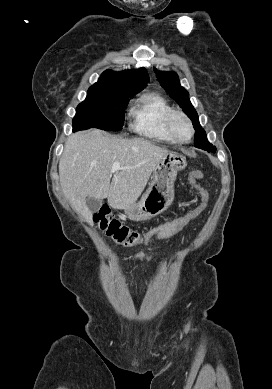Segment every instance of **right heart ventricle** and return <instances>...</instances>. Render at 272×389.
<instances>
[{
    "label": "right heart ventricle",
    "mask_w": 272,
    "mask_h": 389,
    "mask_svg": "<svg viewBox=\"0 0 272 389\" xmlns=\"http://www.w3.org/2000/svg\"><path fill=\"white\" fill-rule=\"evenodd\" d=\"M173 110L168 100L159 93H146L136 99L130 110V127L143 137L158 142L175 143L166 128V118Z\"/></svg>",
    "instance_id": "right-heart-ventricle-1"
}]
</instances>
